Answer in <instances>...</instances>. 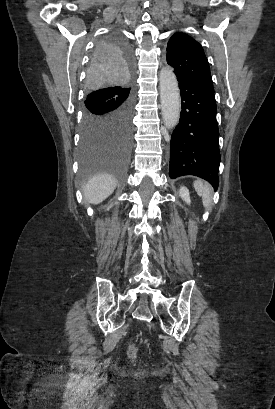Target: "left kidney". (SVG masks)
<instances>
[{"instance_id": "1", "label": "left kidney", "mask_w": 275, "mask_h": 409, "mask_svg": "<svg viewBox=\"0 0 275 409\" xmlns=\"http://www.w3.org/2000/svg\"><path fill=\"white\" fill-rule=\"evenodd\" d=\"M180 196L183 200H186V202H191L189 190L186 186H180Z\"/></svg>"}]
</instances>
